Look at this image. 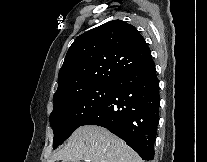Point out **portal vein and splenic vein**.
<instances>
[{
	"label": "portal vein and splenic vein",
	"instance_id": "obj_1",
	"mask_svg": "<svg viewBox=\"0 0 207 162\" xmlns=\"http://www.w3.org/2000/svg\"><path fill=\"white\" fill-rule=\"evenodd\" d=\"M85 162H90V160H85Z\"/></svg>",
	"mask_w": 207,
	"mask_h": 162
}]
</instances>
